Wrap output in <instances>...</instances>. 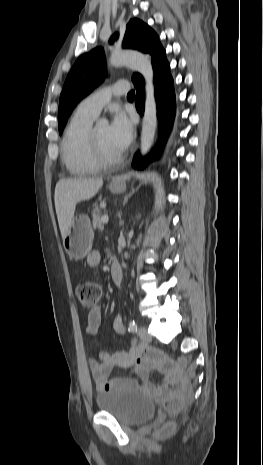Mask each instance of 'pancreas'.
Returning <instances> with one entry per match:
<instances>
[{
	"instance_id": "cf45deb5",
	"label": "pancreas",
	"mask_w": 263,
	"mask_h": 465,
	"mask_svg": "<svg viewBox=\"0 0 263 465\" xmlns=\"http://www.w3.org/2000/svg\"><path fill=\"white\" fill-rule=\"evenodd\" d=\"M102 214L100 210H97L96 212L93 213V228L94 229H103V223H102Z\"/></svg>"
}]
</instances>
